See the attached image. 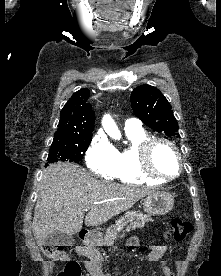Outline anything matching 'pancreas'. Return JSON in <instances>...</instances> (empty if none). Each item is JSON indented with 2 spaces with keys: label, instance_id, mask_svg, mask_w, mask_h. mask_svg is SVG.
Wrapping results in <instances>:
<instances>
[{
  "label": "pancreas",
  "instance_id": "pancreas-1",
  "mask_svg": "<svg viewBox=\"0 0 221 276\" xmlns=\"http://www.w3.org/2000/svg\"><path fill=\"white\" fill-rule=\"evenodd\" d=\"M147 220H151L150 216L137 213L136 211H128L124 216H121L114 225L106 230L103 239L98 242V245L112 246L117 234L126 226L127 230L144 227Z\"/></svg>",
  "mask_w": 221,
  "mask_h": 276
}]
</instances>
